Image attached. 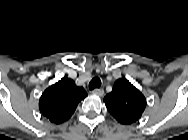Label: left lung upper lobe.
Instances as JSON below:
<instances>
[{"instance_id":"left-lung-upper-lobe-1","label":"left lung upper lobe","mask_w":188,"mask_h":140,"mask_svg":"<svg viewBox=\"0 0 188 140\" xmlns=\"http://www.w3.org/2000/svg\"><path fill=\"white\" fill-rule=\"evenodd\" d=\"M104 102L110 114L121 124L136 122L146 108L144 95L127 79H118Z\"/></svg>"}]
</instances>
